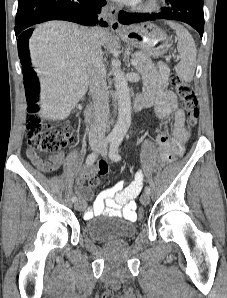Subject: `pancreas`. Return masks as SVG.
I'll use <instances>...</instances> for the list:
<instances>
[{"label":"pancreas","mask_w":227,"mask_h":298,"mask_svg":"<svg viewBox=\"0 0 227 298\" xmlns=\"http://www.w3.org/2000/svg\"><path fill=\"white\" fill-rule=\"evenodd\" d=\"M138 60L137 65H135V69L142 75L155 70V65L150 59L149 56H147L144 53L138 52L134 56Z\"/></svg>","instance_id":"cf45deb5"}]
</instances>
